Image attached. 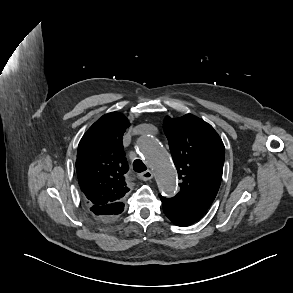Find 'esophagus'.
I'll use <instances>...</instances> for the list:
<instances>
[{"label": "esophagus", "instance_id": "obj_1", "mask_svg": "<svg viewBox=\"0 0 293 293\" xmlns=\"http://www.w3.org/2000/svg\"><path fill=\"white\" fill-rule=\"evenodd\" d=\"M137 176L143 181H148L153 178V173L150 170H147L145 172L139 173Z\"/></svg>", "mask_w": 293, "mask_h": 293}]
</instances>
